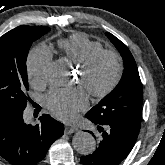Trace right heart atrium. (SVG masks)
<instances>
[{"label": "right heart atrium", "instance_id": "1", "mask_svg": "<svg viewBox=\"0 0 165 165\" xmlns=\"http://www.w3.org/2000/svg\"><path fill=\"white\" fill-rule=\"evenodd\" d=\"M51 59V52L43 45L35 47L30 52L27 60V71L33 84H39L45 81L46 70Z\"/></svg>", "mask_w": 165, "mask_h": 165}]
</instances>
